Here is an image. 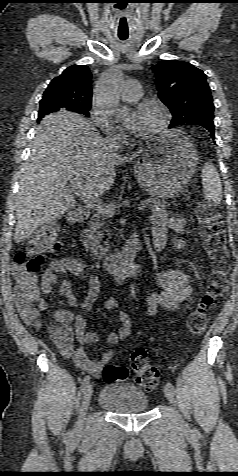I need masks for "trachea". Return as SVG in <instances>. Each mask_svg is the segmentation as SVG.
Returning <instances> with one entry per match:
<instances>
[{"label":"trachea","mask_w":238,"mask_h":476,"mask_svg":"<svg viewBox=\"0 0 238 476\" xmlns=\"http://www.w3.org/2000/svg\"><path fill=\"white\" fill-rule=\"evenodd\" d=\"M120 39H121V40H126V39H127V36H126V37L120 36Z\"/></svg>","instance_id":"1"}]
</instances>
